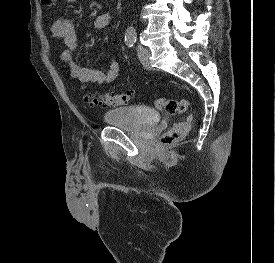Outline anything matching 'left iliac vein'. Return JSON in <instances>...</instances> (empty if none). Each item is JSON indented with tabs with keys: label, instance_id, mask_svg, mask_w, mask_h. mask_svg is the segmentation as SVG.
<instances>
[{
	"label": "left iliac vein",
	"instance_id": "4c4485c4",
	"mask_svg": "<svg viewBox=\"0 0 275 263\" xmlns=\"http://www.w3.org/2000/svg\"><path fill=\"white\" fill-rule=\"evenodd\" d=\"M137 52H138V57H139V60L141 62V64L147 68V69H150L151 68V64H150V52L147 48H145L144 46L142 45H139L138 46V49H137Z\"/></svg>",
	"mask_w": 275,
	"mask_h": 263
}]
</instances>
